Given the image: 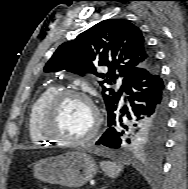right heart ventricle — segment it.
<instances>
[{
    "label": "right heart ventricle",
    "instance_id": "right-heart-ventricle-1",
    "mask_svg": "<svg viewBox=\"0 0 188 189\" xmlns=\"http://www.w3.org/2000/svg\"><path fill=\"white\" fill-rule=\"evenodd\" d=\"M59 91L57 86L46 88L31 104L28 112L27 129L30 141L35 145L50 144L52 140L44 137L40 131V121L42 112L53 97Z\"/></svg>",
    "mask_w": 188,
    "mask_h": 189
}]
</instances>
